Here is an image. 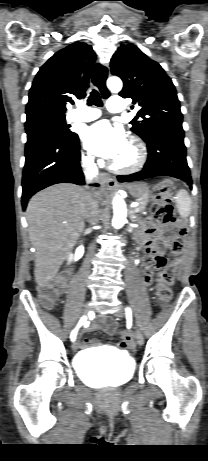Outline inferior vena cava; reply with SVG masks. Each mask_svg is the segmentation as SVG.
Returning a JSON list of instances; mask_svg holds the SVG:
<instances>
[{
  "instance_id": "1",
  "label": "inferior vena cava",
  "mask_w": 208,
  "mask_h": 461,
  "mask_svg": "<svg viewBox=\"0 0 208 461\" xmlns=\"http://www.w3.org/2000/svg\"><path fill=\"white\" fill-rule=\"evenodd\" d=\"M82 167L85 173V178L87 183H92L97 179L98 169L94 162L93 156H87L82 158ZM98 200L97 192L94 190H89L87 197L88 201V214L87 221L94 225L96 224L99 216L98 211Z\"/></svg>"
}]
</instances>
